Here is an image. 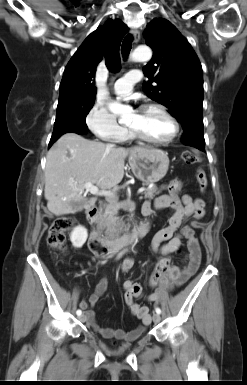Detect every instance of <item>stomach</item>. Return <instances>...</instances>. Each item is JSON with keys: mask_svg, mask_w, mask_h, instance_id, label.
Here are the masks:
<instances>
[{"mask_svg": "<svg viewBox=\"0 0 247 385\" xmlns=\"http://www.w3.org/2000/svg\"><path fill=\"white\" fill-rule=\"evenodd\" d=\"M130 168L144 184L156 183L167 173L169 158L166 152L156 148H134L129 156Z\"/></svg>", "mask_w": 247, "mask_h": 385, "instance_id": "obj_1", "label": "stomach"}]
</instances>
